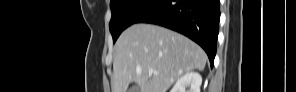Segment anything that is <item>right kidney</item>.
I'll use <instances>...</instances> for the list:
<instances>
[{
  "label": "right kidney",
  "instance_id": "obj_1",
  "mask_svg": "<svg viewBox=\"0 0 296 92\" xmlns=\"http://www.w3.org/2000/svg\"><path fill=\"white\" fill-rule=\"evenodd\" d=\"M201 84L202 77L199 73L187 72L176 81L170 92H200Z\"/></svg>",
  "mask_w": 296,
  "mask_h": 92
}]
</instances>
